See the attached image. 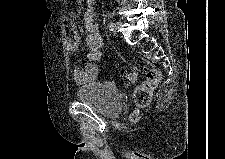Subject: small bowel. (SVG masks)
Listing matches in <instances>:
<instances>
[{
    "label": "small bowel",
    "mask_w": 225,
    "mask_h": 159,
    "mask_svg": "<svg viewBox=\"0 0 225 159\" xmlns=\"http://www.w3.org/2000/svg\"><path fill=\"white\" fill-rule=\"evenodd\" d=\"M95 0H87L86 11L84 14L85 44L87 47V62L83 66H74L72 76L79 85H86L96 80L99 75V61L103 55V38L94 20ZM80 46V35L73 21L70 25V36L67 38V53L74 55Z\"/></svg>",
    "instance_id": "small-bowel-1"
}]
</instances>
